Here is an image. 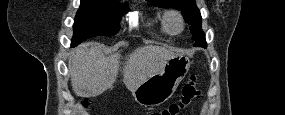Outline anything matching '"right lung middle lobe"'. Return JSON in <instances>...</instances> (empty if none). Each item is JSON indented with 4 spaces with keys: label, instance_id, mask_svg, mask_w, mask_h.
<instances>
[{
    "label": "right lung middle lobe",
    "instance_id": "dd1d6c3e",
    "mask_svg": "<svg viewBox=\"0 0 285 115\" xmlns=\"http://www.w3.org/2000/svg\"><path fill=\"white\" fill-rule=\"evenodd\" d=\"M128 10L108 0H81L74 20L72 46L94 36H112L119 31L121 15Z\"/></svg>",
    "mask_w": 285,
    "mask_h": 115
}]
</instances>
